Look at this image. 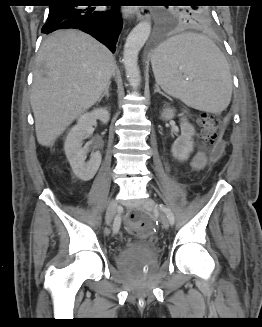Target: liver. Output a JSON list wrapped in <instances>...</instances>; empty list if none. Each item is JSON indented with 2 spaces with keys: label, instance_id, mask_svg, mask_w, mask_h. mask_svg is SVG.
Masks as SVG:
<instances>
[{
  "label": "liver",
  "instance_id": "1",
  "mask_svg": "<svg viewBox=\"0 0 262 327\" xmlns=\"http://www.w3.org/2000/svg\"><path fill=\"white\" fill-rule=\"evenodd\" d=\"M114 72V56L90 35L77 30L50 35L38 52L30 97L38 143L52 146L99 100Z\"/></svg>",
  "mask_w": 262,
  "mask_h": 327
}]
</instances>
